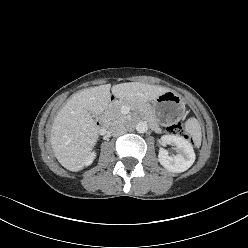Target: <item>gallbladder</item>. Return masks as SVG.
I'll list each match as a JSON object with an SVG mask.
<instances>
[{
    "label": "gallbladder",
    "instance_id": "1",
    "mask_svg": "<svg viewBox=\"0 0 248 248\" xmlns=\"http://www.w3.org/2000/svg\"><path fill=\"white\" fill-rule=\"evenodd\" d=\"M92 115V117H95V115L94 114H91Z\"/></svg>",
    "mask_w": 248,
    "mask_h": 248
}]
</instances>
